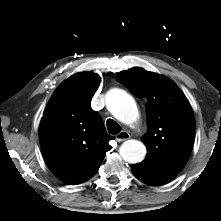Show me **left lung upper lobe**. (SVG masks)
<instances>
[{"instance_id":"5c2ea615","label":"left lung upper lobe","mask_w":221,"mask_h":221,"mask_svg":"<svg viewBox=\"0 0 221 221\" xmlns=\"http://www.w3.org/2000/svg\"><path fill=\"white\" fill-rule=\"evenodd\" d=\"M116 79L136 97L147 99L148 129L142 141L148 154L131 166L133 174L150 185L175 178L189 158L195 134V119L187 98L167 77L139 67L120 72Z\"/></svg>"}]
</instances>
